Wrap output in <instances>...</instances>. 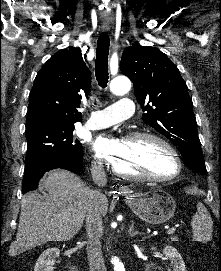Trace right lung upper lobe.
Instances as JSON below:
<instances>
[{
	"mask_svg": "<svg viewBox=\"0 0 221 271\" xmlns=\"http://www.w3.org/2000/svg\"><path fill=\"white\" fill-rule=\"evenodd\" d=\"M90 72L78 48L62 49L37 73L31 89L26 131L46 125L74 126L82 95L90 91Z\"/></svg>",
	"mask_w": 221,
	"mask_h": 271,
	"instance_id": "1",
	"label": "right lung upper lobe"
}]
</instances>
